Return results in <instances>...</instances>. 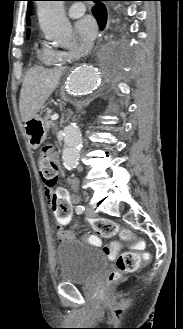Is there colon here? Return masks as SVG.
<instances>
[{"label": "colon", "mask_w": 183, "mask_h": 329, "mask_svg": "<svg viewBox=\"0 0 183 329\" xmlns=\"http://www.w3.org/2000/svg\"><path fill=\"white\" fill-rule=\"evenodd\" d=\"M39 168L41 177L47 189L52 190L57 183L58 168L52 155L51 146L43 148L39 161ZM92 226L97 235L102 238H112L119 232L118 225L105 218L94 219L92 221ZM119 236L121 241L130 242L135 252H124L119 254V242H113L104 247L105 254L110 258L116 259V269L108 276V282L110 284L117 282L122 273L135 271L141 260H146L149 257V255L144 252L145 243L142 240L135 238L127 230L120 231Z\"/></svg>", "instance_id": "colon-1"}]
</instances>
